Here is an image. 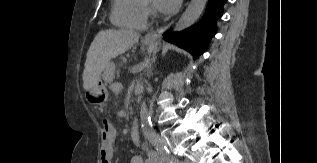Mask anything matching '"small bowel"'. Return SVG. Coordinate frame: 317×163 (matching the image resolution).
<instances>
[{"label": "small bowel", "instance_id": "small-bowel-1", "mask_svg": "<svg viewBox=\"0 0 317 163\" xmlns=\"http://www.w3.org/2000/svg\"><path fill=\"white\" fill-rule=\"evenodd\" d=\"M115 140H116V130L115 128L104 122L103 128L101 130V150L99 152L100 163H111L115 155ZM148 158L145 160L141 156H134L130 163H164V161L158 156L157 153L153 151H148Z\"/></svg>", "mask_w": 317, "mask_h": 163}]
</instances>
